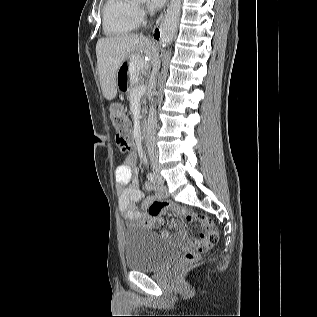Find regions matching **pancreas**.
<instances>
[{"instance_id": "1", "label": "pancreas", "mask_w": 317, "mask_h": 317, "mask_svg": "<svg viewBox=\"0 0 317 317\" xmlns=\"http://www.w3.org/2000/svg\"><path fill=\"white\" fill-rule=\"evenodd\" d=\"M135 76H138V72H135ZM142 81L139 79V82H134V83H131V86L129 87V91H128V94H127V98L130 100L133 96V93L136 92V89H140L142 87ZM141 103H145V100H141Z\"/></svg>"}]
</instances>
